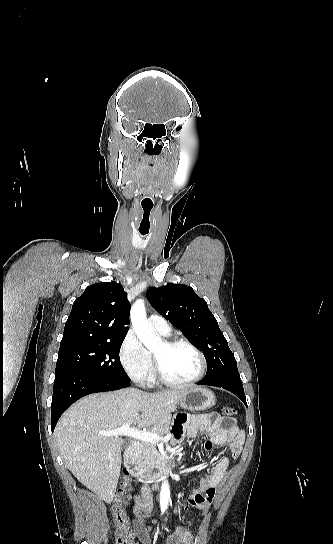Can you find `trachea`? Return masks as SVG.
Instances as JSON below:
<instances>
[{
  "instance_id": "trachea-1",
  "label": "trachea",
  "mask_w": 333,
  "mask_h": 544,
  "mask_svg": "<svg viewBox=\"0 0 333 544\" xmlns=\"http://www.w3.org/2000/svg\"><path fill=\"white\" fill-rule=\"evenodd\" d=\"M141 234H142V235H145V234H147V233H145V232H141Z\"/></svg>"
}]
</instances>
